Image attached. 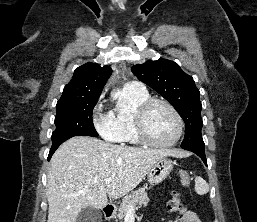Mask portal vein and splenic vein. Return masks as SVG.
Returning <instances> with one entry per match:
<instances>
[{
	"label": "portal vein and splenic vein",
	"mask_w": 257,
	"mask_h": 222,
	"mask_svg": "<svg viewBox=\"0 0 257 222\" xmlns=\"http://www.w3.org/2000/svg\"><path fill=\"white\" fill-rule=\"evenodd\" d=\"M111 181H112V178H111V177L105 179V183H106V184H109ZM130 209H133V207L130 206Z\"/></svg>",
	"instance_id": "portal-vein-and-splenic-vein-1"
}]
</instances>
